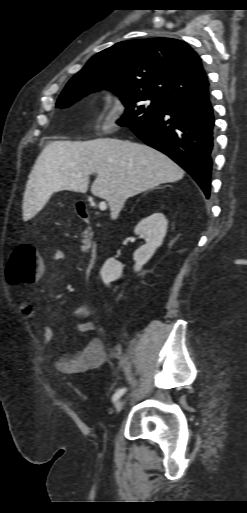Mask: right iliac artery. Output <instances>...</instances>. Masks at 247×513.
<instances>
[{"label":"right iliac artery","instance_id":"obj_1","mask_svg":"<svg viewBox=\"0 0 247 513\" xmlns=\"http://www.w3.org/2000/svg\"><path fill=\"white\" fill-rule=\"evenodd\" d=\"M126 391V388L118 389L112 397V401H117Z\"/></svg>","mask_w":247,"mask_h":513}]
</instances>
